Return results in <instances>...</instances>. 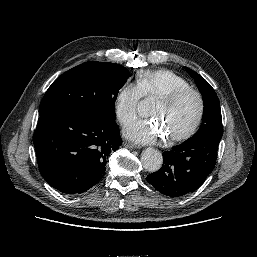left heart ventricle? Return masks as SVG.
<instances>
[{"label":"left heart ventricle","instance_id":"1","mask_svg":"<svg viewBox=\"0 0 257 257\" xmlns=\"http://www.w3.org/2000/svg\"><path fill=\"white\" fill-rule=\"evenodd\" d=\"M198 111V102L194 95L184 96L173 105L156 102L151 115L158 118L168 136L184 132L194 121Z\"/></svg>","mask_w":257,"mask_h":257}]
</instances>
